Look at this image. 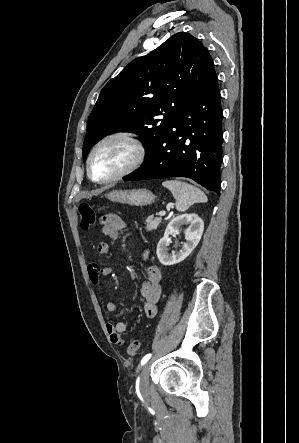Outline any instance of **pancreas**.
<instances>
[{"label": "pancreas", "mask_w": 299, "mask_h": 443, "mask_svg": "<svg viewBox=\"0 0 299 443\" xmlns=\"http://www.w3.org/2000/svg\"><path fill=\"white\" fill-rule=\"evenodd\" d=\"M160 222H161L160 218H154L153 216H149L146 219V227H145V229L147 231L156 230L157 227L159 226Z\"/></svg>", "instance_id": "pancreas-1"}]
</instances>
